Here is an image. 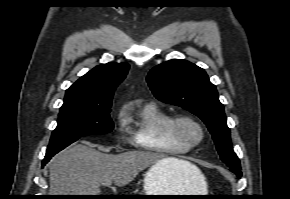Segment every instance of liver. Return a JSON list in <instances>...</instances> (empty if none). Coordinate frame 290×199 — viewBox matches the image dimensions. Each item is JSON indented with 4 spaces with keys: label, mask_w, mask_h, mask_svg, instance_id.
I'll return each instance as SVG.
<instances>
[{
    "label": "liver",
    "mask_w": 290,
    "mask_h": 199,
    "mask_svg": "<svg viewBox=\"0 0 290 199\" xmlns=\"http://www.w3.org/2000/svg\"><path fill=\"white\" fill-rule=\"evenodd\" d=\"M161 163L171 174L184 180L195 179L197 166L174 157H163L147 151L104 154L89 143L74 144L50 162V195H99L100 186L114 181L116 186L130 183L142 170ZM186 188V187H184ZM185 189H180L182 191Z\"/></svg>",
    "instance_id": "6515ba94"
}]
</instances>
